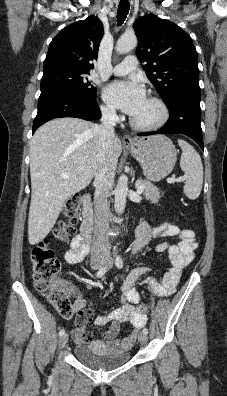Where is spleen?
Wrapping results in <instances>:
<instances>
[{
  "mask_svg": "<svg viewBox=\"0 0 227 396\" xmlns=\"http://www.w3.org/2000/svg\"><path fill=\"white\" fill-rule=\"evenodd\" d=\"M182 149L180 167L184 172V193L189 199L199 197L203 184V166L198 152L186 141L178 140Z\"/></svg>",
  "mask_w": 227,
  "mask_h": 396,
  "instance_id": "3e777b00",
  "label": "spleen"
}]
</instances>
